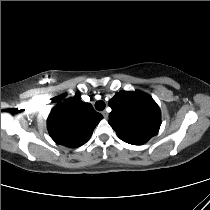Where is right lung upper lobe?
Wrapping results in <instances>:
<instances>
[{
  "label": "right lung upper lobe",
  "instance_id": "obj_1",
  "mask_svg": "<svg viewBox=\"0 0 210 210\" xmlns=\"http://www.w3.org/2000/svg\"><path fill=\"white\" fill-rule=\"evenodd\" d=\"M103 116L91 104L74 96L55 106L48 117L51 138L66 147H79L86 143Z\"/></svg>",
  "mask_w": 210,
  "mask_h": 210
}]
</instances>
